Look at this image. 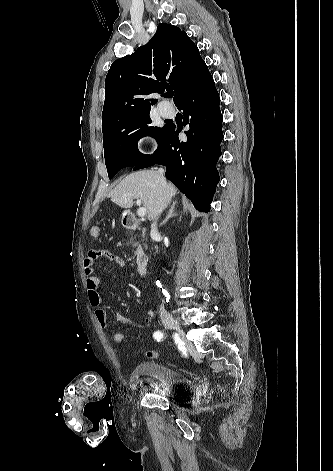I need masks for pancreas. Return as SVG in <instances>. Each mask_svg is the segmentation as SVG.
Here are the masks:
<instances>
[{
  "mask_svg": "<svg viewBox=\"0 0 333 471\" xmlns=\"http://www.w3.org/2000/svg\"><path fill=\"white\" fill-rule=\"evenodd\" d=\"M133 242H134V238L131 237V238H130V241L128 242V244H129V243H133Z\"/></svg>",
  "mask_w": 333,
  "mask_h": 471,
  "instance_id": "cf45deb5",
  "label": "pancreas"
}]
</instances>
